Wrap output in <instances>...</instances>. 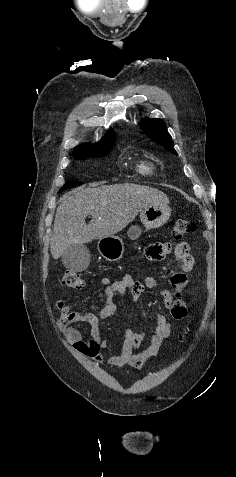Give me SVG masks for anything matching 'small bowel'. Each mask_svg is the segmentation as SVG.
<instances>
[{
	"mask_svg": "<svg viewBox=\"0 0 236 477\" xmlns=\"http://www.w3.org/2000/svg\"><path fill=\"white\" fill-rule=\"evenodd\" d=\"M177 247L187 248L189 251L183 255L176 254V258L181 262L182 271L172 276L173 291L162 288L155 277L148 276L143 281H137L131 275L126 274L117 280L108 277L101 279L105 298L98 315L90 312H74L64 299H59L56 302L59 310L58 329L65 334L68 342L73 345L76 351L90 357L96 363L105 361L115 369L124 366L142 367L159 355L163 341L172 333V325L164 315H157L156 324L150 336V345L138 355H134L133 351L146 338V333L131 329H125L124 338L116 353L104 354L103 350L108 343L100 338L99 319H106L115 315L117 304L114 297L116 294L129 293L136 302L147 288L158 290L164 306L170 310L174 320H184L188 312L187 302L183 298L184 290L188 284L185 273L193 268L195 261L190 254V247L187 243L181 242ZM171 249L172 246L169 243H155L147 248L146 256L149 260L160 261L170 254ZM79 321L90 324L89 338L85 339L81 331L75 327V324Z\"/></svg>",
	"mask_w": 236,
	"mask_h": 477,
	"instance_id": "c3829d8e",
	"label": "small bowel"
}]
</instances>
